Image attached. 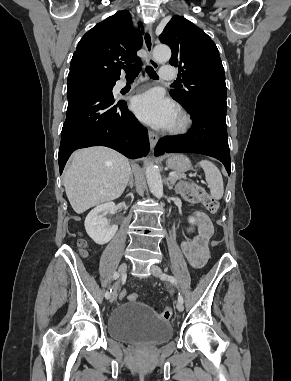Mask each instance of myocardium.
Listing matches in <instances>:
<instances>
[{"label": "myocardium", "instance_id": "1", "mask_svg": "<svg viewBox=\"0 0 291 381\" xmlns=\"http://www.w3.org/2000/svg\"><path fill=\"white\" fill-rule=\"evenodd\" d=\"M191 123L192 121L190 116L186 112L180 111L173 127L171 128V132L174 134L184 133L190 128Z\"/></svg>", "mask_w": 291, "mask_h": 381}]
</instances>
